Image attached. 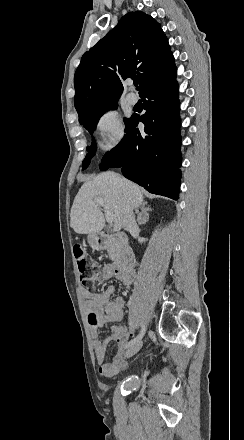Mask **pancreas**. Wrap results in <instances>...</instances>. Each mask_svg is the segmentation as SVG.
Masks as SVG:
<instances>
[{
	"label": "pancreas",
	"mask_w": 244,
	"mask_h": 440,
	"mask_svg": "<svg viewBox=\"0 0 244 440\" xmlns=\"http://www.w3.org/2000/svg\"><path fill=\"white\" fill-rule=\"evenodd\" d=\"M108 256L112 262H117L119 260V252H120V244L118 242H114V240H110L109 244L105 246Z\"/></svg>",
	"instance_id": "cf45deb5"
}]
</instances>
